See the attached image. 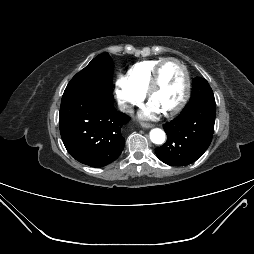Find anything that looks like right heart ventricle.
Here are the masks:
<instances>
[{
  "mask_svg": "<svg viewBox=\"0 0 254 254\" xmlns=\"http://www.w3.org/2000/svg\"><path fill=\"white\" fill-rule=\"evenodd\" d=\"M164 58L145 60L131 66L127 72L131 82L142 92H146L156 66Z\"/></svg>",
  "mask_w": 254,
  "mask_h": 254,
  "instance_id": "e07e8e85",
  "label": "right heart ventricle"
}]
</instances>
